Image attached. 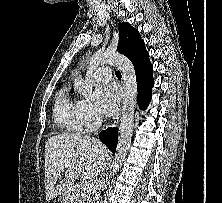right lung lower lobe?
Segmentation results:
<instances>
[{"label":"right lung lower lobe","instance_id":"98d812e1","mask_svg":"<svg viewBox=\"0 0 222 203\" xmlns=\"http://www.w3.org/2000/svg\"><path fill=\"white\" fill-rule=\"evenodd\" d=\"M99 138L111 151H113V153H115L118 140V130L116 127L103 130Z\"/></svg>","mask_w":222,"mask_h":203}]
</instances>
